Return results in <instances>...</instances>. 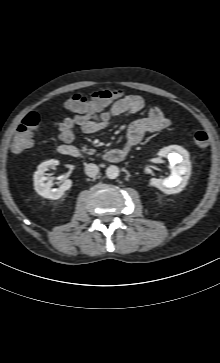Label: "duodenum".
Here are the masks:
<instances>
[{"instance_id":"410a0bca","label":"duodenum","mask_w":220,"mask_h":363,"mask_svg":"<svg viewBox=\"0 0 220 363\" xmlns=\"http://www.w3.org/2000/svg\"><path fill=\"white\" fill-rule=\"evenodd\" d=\"M58 152L62 156L81 159L84 158V153L76 146L62 144L58 148ZM128 154L127 148L110 149L105 153V160L109 163H119L125 159Z\"/></svg>"}]
</instances>
